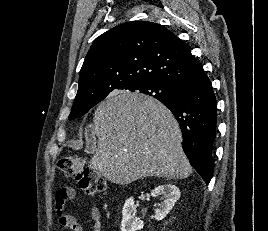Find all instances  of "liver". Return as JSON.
<instances>
[{
  "label": "liver",
  "instance_id": "obj_1",
  "mask_svg": "<svg viewBox=\"0 0 268 231\" xmlns=\"http://www.w3.org/2000/svg\"><path fill=\"white\" fill-rule=\"evenodd\" d=\"M93 123L87 135L98 141L91 164L108 181L123 185L149 176L183 179L192 173L179 125L158 100L115 92L98 105Z\"/></svg>",
  "mask_w": 268,
  "mask_h": 231
}]
</instances>
